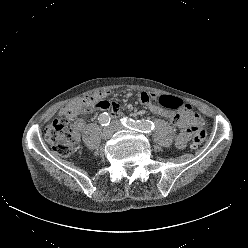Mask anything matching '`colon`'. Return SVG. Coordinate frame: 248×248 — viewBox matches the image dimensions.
<instances>
[{
	"label": "colon",
	"mask_w": 248,
	"mask_h": 248,
	"mask_svg": "<svg viewBox=\"0 0 248 248\" xmlns=\"http://www.w3.org/2000/svg\"><path fill=\"white\" fill-rule=\"evenodd\" d=\"M153 102L169 110H179L185 106L182 100L169 95L154 96ZM93 107H95V105L85 98L82 101L77 114H89ZM77 114L71 113L63 118L54 119L46 127L45 139L51 149L61 157H69L77 144L79 126L77 122L73 121ZM205 134L203 124L199 123L194 129V137L191 143L193 148H198L202 145Z\"/></svg>",
	"instance_id": "obj_1"
}]
</instances>
